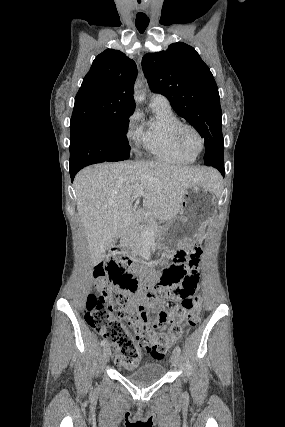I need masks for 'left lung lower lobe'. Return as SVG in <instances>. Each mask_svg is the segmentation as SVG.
Here are the masks:
<instances>
[{"label":"left lung lower lobe","instance_id":"1","mask_svg":"<svg viewBox=\"0 0 285 427\" xmlns=\"http://www.w3.org/2000/svg\"><path fill=\"white\" fill-rule=\"evenodd\" d=\"M214 167L217 168L223 176L225 175L224 159L217 160L214 164Z\"/></svg>","mask_w":285,"mask_h":427}]
</instances>
